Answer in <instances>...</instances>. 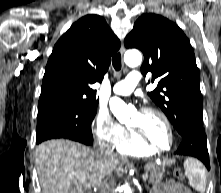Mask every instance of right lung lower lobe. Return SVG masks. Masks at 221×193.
<instances>
[{"label":"right lung lower lobe","instance_id":"right-lung-lower-lobe-1","mask_svg":"<svg viewBox=\"0 0 221 193\" xmlns=\"http://www.w3.org/2000/svg\"><path fill=\"white\" fill-rule=\"evenodd\" d=\"M88 145L91 144L93 142V138L91 140H87Z\"/></svg>","mask_w":221,"mask_h":193}]
</instances>
